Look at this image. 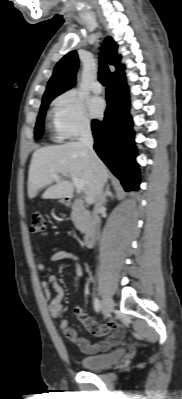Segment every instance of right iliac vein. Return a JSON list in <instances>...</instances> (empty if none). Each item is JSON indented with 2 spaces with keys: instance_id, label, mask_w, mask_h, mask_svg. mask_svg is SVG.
Here are the masks:
<instances>
[{
  "instance_id": "obj_1",
  "label": "right iliac vein",
  "mask_w": 182,
  "mask_h": 399,
  "mask_svg": "<svg viewBox=\"0 0 182 399\" xmlns=\"http://www.w3.org/2000/svg\"><path fill=\"white\" fill-rule=\"evenodd\" d=\"M113 309V302L110 297L106 296L102 302V311L105 316H108Z\"/></svg>"
}]
</instances>
